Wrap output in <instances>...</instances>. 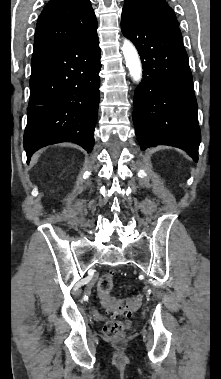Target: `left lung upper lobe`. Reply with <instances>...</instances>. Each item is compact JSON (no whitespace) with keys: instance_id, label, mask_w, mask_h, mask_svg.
<instances>
[{"instance_id":"1","label":"left lung upper lobe","mask_w":221,"mask_h":379,"mask_svg":"<svg viewBox=\"0 0 221 379\" xmlns=\"http://www.w3.org/2000/svg\"><path fill=\"white\" fill-rule=\"evenodd\" d=\"M133 4L147 18L161 24L178 27L174 11L165 0H126Z\"/></svg>"}]
</instances>
